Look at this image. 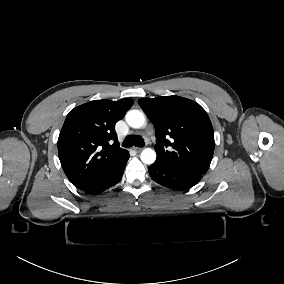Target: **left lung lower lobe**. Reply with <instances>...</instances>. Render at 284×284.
I'll list each match as a JSON object with an SVG mask.
<instances>
[{
	"mask_svg": "<svg viewBox=\"0 0 284 284\" xmlns=\"http://www.w3.org/2000/svg\"><path fill=\"white\" fill-rule=\"evenodd\" d=\"M148 170L155 182L174 190L189 189L197 184L203 176V174L170 167L159 161H155Z\"/></svg>",
	"mask_w": 284,
	"mask_h": 284,
	"instance_id": "obj_1",
	"label": "left lung lower lobe"
}]
</instances>
